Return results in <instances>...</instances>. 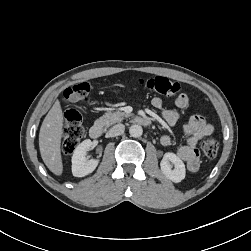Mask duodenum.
<instances>
[{
	"instance_id": "410a0bca",
	"label": "duodenum",
	"mask_w": 251,
	"mask_h": 251,
	"mask_svg": "<svg viewBox=\"0 0 251 251\" xmlns=\"http://www.w3.org/2000/svg\"><path fill=\"white\" fill-rule=\"evenodd\" d=\"M135 121L140 124V125H144V126H148L151 124L152 120L151 118L147 117V116H137L135 118ZM103 134V128L101 125H93L90 129H89V136L92 139H98L102 136Z\"/></svg>"
}]
</instances>
